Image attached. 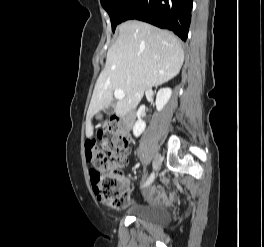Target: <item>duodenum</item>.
I'll return each instance as SVG.
<instances>
[{
  "label": "duodenum",
  "mask_w": 264,
  "mask_h": 247,
  "mask_svg": "<svg viewBox=\"0 0 264 247\" xmlns=\"http://www.w3.org/2000/svg\"><path fill=\"white\" fill-rule=\"evenodd\" d=\"M135 119V113L133 110L128 111L122 116V122L127 128H131Z\"/></svg>",
  "instance_id": "410a0bca"
}]
</instances>
